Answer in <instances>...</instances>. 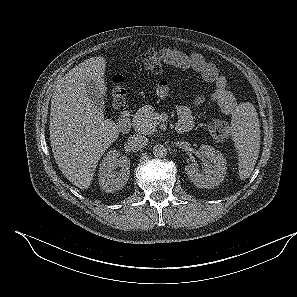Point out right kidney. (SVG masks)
<instances>
[{
    "label": "right kidney",
    "mask_w": 297,
    "mask_h": 297,
    "mask_svg": "<svg viewBox=\"0 0 297 297\" xmlns=\"http://www.w3.org/2000/svg\"><path fill=\"white\" fill-rule=\"evenodd\" d=\"M120 167L119 171H115ZM99 185L107 193L120 190L128 181L130 160L127 156L118 158L115 149L110 150L103 158L99 168Z\"/></svg>",
    "instance_id": "ca27d5eb"
}]
</instances>
